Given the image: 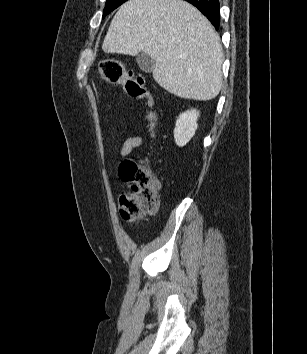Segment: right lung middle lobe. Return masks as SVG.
I'll use <instances>...</instances> for the list:
<instances>
[{
  "label": "right lung middle lobe",
  "mask_w": 307,
  "mask_h": 354,
  "mask_svg": "<svg viewBox=\"0 0 307 354\" xmlns=\"http://www.w3.org/2000/svg\"><path fill=\"white\" fill-rule=\"evenodd\" d=\"M127 0H107L104 11H103V18L110 13L112 10L119 7L122 3Z\"/></svg>",
  "instance_id": "obj_1"
}]
</instances>
